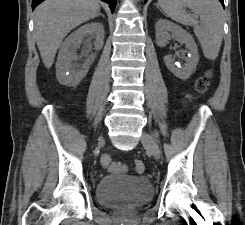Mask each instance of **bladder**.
I'll use <instances>...</instances> for the list:
<instances>
[{
  "label": "bladder",
  "instance_id": "31cf9c89",
  "mask_svg": "<svg viewBox=\"0 0 245 225\" xmlns=\"http://www.w3.org/2000/svg\"><path fill=\"white\" fill-rule=\"evenodd\" d=\"M153 196V184L147 177L129 173L105 175L98 181L94 193L96 203L106 209L147 203Z\"/></svg>",
  "mask_w": 245,
  "mask_h": 225
}]
</instances>
